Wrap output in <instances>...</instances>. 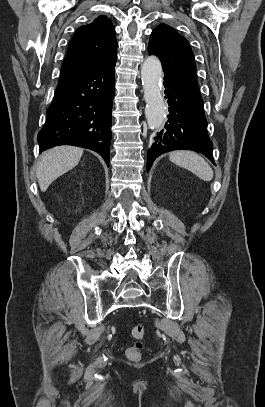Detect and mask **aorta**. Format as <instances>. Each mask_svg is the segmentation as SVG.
Segmentation results:
<instances>
[{
  "instance_id": "1",
  "label": "aorta",
  "mask_w": 265,
  "mask_h": 407,
  "mask_svg": "<svg viewBox=\"0 0 265 407\" xmlns=\"http://www.w3.org/2000/svg\"><path fill=\"white\" fill-rule=\"evenodd\" d=\"M163 76L160 60L155 56L145 59L141 67V78L146 102L145 115L151 129H158L166 117V105L161 93Z\"/></svg>"
}]
</instances>
